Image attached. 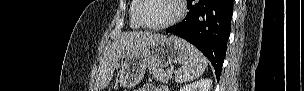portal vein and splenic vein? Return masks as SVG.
<instances>
[{"label": "portal vein and splenic vein", "mask_w": 304, "mask_h": 91, "mask_svg": "<svg viewBox=\"0 0 304 91\" xmlns=\"http://www.w3.org/2000/svg\"><path fill=\"white\" fill-rule=\"evenodd\" d=\"M168 72H169L170 74H173V69H169Z\"/></svg>", "instance_id": "18ae733b"}]
</instances>
